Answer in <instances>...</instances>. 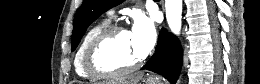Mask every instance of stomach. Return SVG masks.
I'll use <instances>...</instances> for the list:
<instances>
[{
    "label": "stomach",
    "mask_w": 260,
    "mask_h": 84,
    "mask_svg": "<svg viewBox=\"0 0 260 84\" xmlns=\"http://www.w3.org/2000/svg\"><path fill=\"white\" fill-rule=\"evenodd\" d=\"M146 84H160V83H158L157 81H153V80H147L146 81Z\"/></svg>",
    "instance_id": "stomach-1"
}]
</instances>
